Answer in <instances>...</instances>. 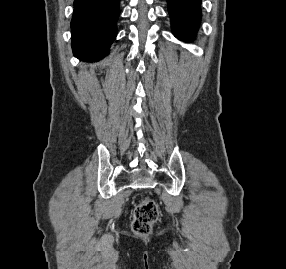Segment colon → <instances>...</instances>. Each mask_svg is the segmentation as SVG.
<instances>
[{
  "label": "colon",
  "mask_w": 286,
  "mask_h": 269,
  "mask_svg": "<svg viewBox=\"0 0 286 269\" xmlns=\"http://www.w3.org/2000/svg\"><path fill=\"white\" fill-rule=\"evenodd\" d=\"M158 217L159 210L156 202L149 198L142 200L133 212V231L141 236L148 235Z\"/></svg>",
  "instance_id": "1"
}]
</instances>
